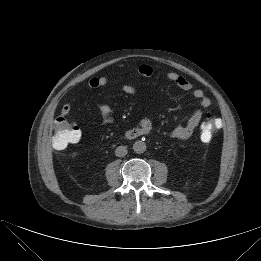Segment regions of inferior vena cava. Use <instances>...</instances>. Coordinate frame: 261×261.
Listing matches in <instances>:
<instances>
[{
    "label": "inferior vena cava",
    "instance_id": "obj_1",
    "mask_svg": "<svg viewBox=\"0 0 261 261\" xmlns=\"http://www.w3.org/2000/svg\"><path fill=\"white\" fill-rule=\"evenodd\" d=\"M128 150L125 146H118L115 150V155L117 157H124L127 154Z\"/></svg>",
    "mask_w": 261,
    "mask_h": 261
}]
</instances>
